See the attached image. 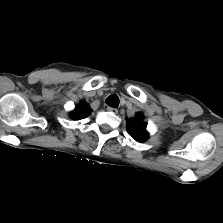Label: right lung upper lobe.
<instances>
[{"instance_id": "right-lung-upper-lobe-1", "label": "right lung upper lobe", "mask_w": 223, "mask_h": 223, "mask_svg": "<svg viewBox=\"0 0 223 223\" xmlns=\"http://www.w3.org/2000/svg\"><path fill=\"white\" fill-rule=\"evenodd\" d=\"M91 112V109L85 102H81L76 109L72 112L71 117L73 119H81L88 116Z\"/></svg>"}]
</instances>
